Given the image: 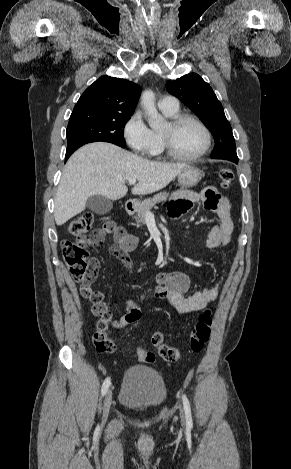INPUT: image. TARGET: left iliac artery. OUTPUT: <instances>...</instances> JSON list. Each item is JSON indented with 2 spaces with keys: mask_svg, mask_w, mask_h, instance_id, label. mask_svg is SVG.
I'll list each match as a JSON object with an SVG mask.
<instances>
[{
  "mask_svg": "<svg viewBox=\"0 0 291 469\" xmlns=\"http://www.w3.org/2000/svg\"><path fill=\"white\" fill-rule=\"evenodd\" d=\"M182 398H183V406H184V411H185L186 424L188 427L191 428L193 423H192L190 403L186 395H183Z\"/></svg>",
  "mask_w": 291,
  "mask_h": 469,
  "instance_id": "obj_1",
  "label": "left iliac artery"
}]
</instances>
